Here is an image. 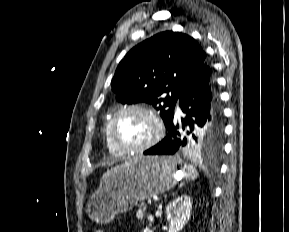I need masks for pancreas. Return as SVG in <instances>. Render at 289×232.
<instances>
[{"label":"pancreas","instance_id":"cf45deb5","mask_svg":"<svg viewBox=\"0 0 289 232\" xmlns=\"http://www.w3.org/2000/svg\"><path fill=\"white\" fill-rule=\"evenodd\" d=\"M146 210V205H141L136 213L138 219H143Z\"/></svg>","mask_w":289,"mask_h":232}]
</instances>
